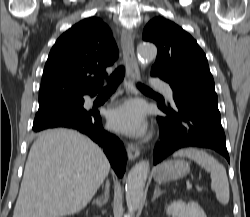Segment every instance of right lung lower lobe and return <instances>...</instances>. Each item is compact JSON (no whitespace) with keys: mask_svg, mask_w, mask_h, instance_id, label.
<instances>
[{"mask_svg":"<svg viewBox=\"0 0 250 217\" xmlns=\"http://www.w3.org/2000/svg\"><path fill=\"white\" fill-rule=\"evenodd\" d=\"M96 93L97 92L91 93L90 95L94 96ZM77 99H80L82 104L84 103L83 97ZM59 127L74 129L89 136L93 141L104 148V152L116 174L119 177L123 176L127 160L124 145L115 135L103 129L102 120L98 111H86L85 114L77 118L65 117L56 119L33 129V132L37 133L44 129Z\"/></svg>","mask_w":250,"mask_h":217,"instance_id":"98d812e1","label":"right lung lower lobe"}]
</instances>
